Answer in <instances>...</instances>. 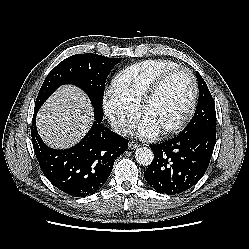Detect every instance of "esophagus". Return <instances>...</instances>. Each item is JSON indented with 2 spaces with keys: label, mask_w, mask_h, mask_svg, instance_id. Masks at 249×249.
<instances>
[{
  "label": "esophagus",
  "mask_w": 249,
  "mask_h": 249,
  "mask_svg": "<svg viewBox=\"0 0 249 249\" xmlns=\"http://www.w3.org/2000/svg\"><path fill=\"white\" fill-rule=\"evenodd\" d=\"M140 145L137 143V142H134V141H129V147L131 149H135V148H138Z\"/></svg>",
  "instance_id": "34e87169"
}]
</instances>
